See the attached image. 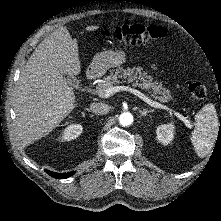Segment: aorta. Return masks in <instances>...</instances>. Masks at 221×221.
<instances>
[{"instance_id": "aorta-1", "label": "aorta", "mask_w": 221, "mask_h": 221, "mask_svg": "<svg viewBox=\"0 0 221 221\" xmlns=\"http://www.w3.org/2000/svg\"><path fill=\"white\" fill-rule=\"evenodd\" d=\"M119 123L122 126H129L133 123V115L130 112H123L119 116Z\"/></svg>"}]
</instances>
